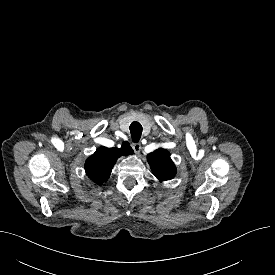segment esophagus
Instances as JSON below:
<instances>
[{"label":"esophagus","mask_w":275,"mask_h":275,"mask_svg":"<svg viewBox=\"0 0 275 275\" xmlns=\"http://www.w3.org/2000/svg\"><path fill=\"white\" fill-rule=\"evenodd\" d=\"M132 148L136 153H139L141 150V144L140 143H133Z\"/></svg>","instance_id":"esophagus-1"}]
</instances>
